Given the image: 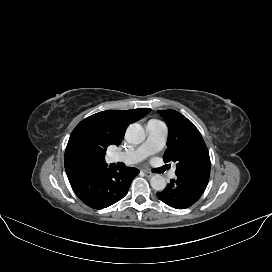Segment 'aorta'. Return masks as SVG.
I'll return each instance as SVG.
<instances>
[{
    "mask_svg": "<svg viewBox=\"0 0 272 272\" xmlns=\"http://www.w3.org/2000/svg\"><path fill=\"white\" fill-rule=\"evenodd\" d=\"M126 138L133 144L142 143L145 138L144 128L138 124H130L126 130ZM151 187L156 191H162L166 187V180L162 175H154L150 180Z\"/></svg>",
    "mask_w": 272,
    "mask_h": 272,
    "instance_id": "aorta-1",
    "label": "aorta"
}]
</instances>
